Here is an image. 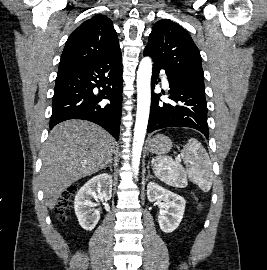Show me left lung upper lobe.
Returning a JSON list of instances; mask_svg holds the SVG:
<instances>
[{"instance_id": "5c2ea615", "label": "left lung upper lobe", "mask_w": 267, "mask_h": 270, "mask_svg": "<svg viewBox=\"0 0 267 270\" xmlns=\"http://www.w3.org/2000/svg\"><path fill=\"white\" fill-rule=\"evenodd\" d=\"M144 52L170 78L205 92L200 52L180 25L166 19L155 23Z\"/></svg>"}]
</instances>
